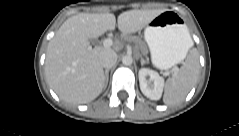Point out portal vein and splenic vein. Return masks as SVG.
Instances as JSON below:
<instances>
[{"label":"portal vein and splenic vein","instance_id":"18ae733b","mask_svg":"<svg viewBox=\"0 0 239 136\" xmlns=\"http://www.w3.org/2000/svg\"><path fill=\"white\" fill-rule=\"evenodd\" d=\"M113 45V40L111 38H107L103 41V46L109 48Z\"/></svg>","mask_w":239,"mask_h":136}]
</instances>
